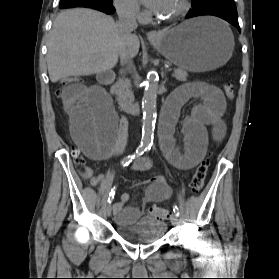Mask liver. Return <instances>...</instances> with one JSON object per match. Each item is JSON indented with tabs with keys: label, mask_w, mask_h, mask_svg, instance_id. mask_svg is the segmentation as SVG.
Listing matches in <instances>:
<instances>
[{
	"label": "liver",
	"mask_w": 279,
	"mask_h": 279,
	"mask_svg": "<svg viewBox=\"0 0 279 279\" xmlns=\"http://www.w3.org/2000/svg\"><path fill=\"white\" fill-rule=\"evenodd\" d=\"M119 42L118 24L112 17L85 8L60 12L47 44V67L51 82L111 70L120 56ZM127 44L131 57H135L140 48L138 37L131 34Z\"/></svg>",
	"instance_id": "6515ba94"
}]
</instances>
